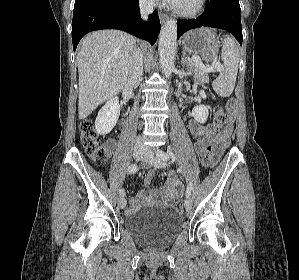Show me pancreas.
<instances>
[{
	"mask_svg": "<svg viewBox=\"0 0 299 280\" xmlns=\"http://www.w3.org/2000/svg\"><path fill=\"white\" fill-rule=\"evenodd\" d=\"M188 68L190 71L193 72L194 79L197 83H199L201 85L208 83V81H209L208 74H207V72H205L201 69L199 64H197L195 62H190L188 65Z\"/></svg>",
	"mask_w": 299,
	"mask_h": 280,
	"instance_id": "obj_1",
	"label": "pancreas"
}]
</instances>
